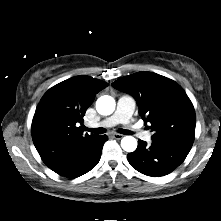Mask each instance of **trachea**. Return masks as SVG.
Segmentation results:
<instances>
[{"label":"trachea","mask_w":221,"mask_h":221,"mask_svg":"<svg viewBox=\"0 0 221 221\" xmlns=\"http://www.w3.org/2000/svg\"><path fill=\"white\" fill-rule=\"evenodd\" d=\"M86 130L88 132H92V133H95V134H103V133L106 132V129H104V128H86ZM119 132L121 134H126V135H131L132 134L131 131L125 130V129H120Z\"/></svg>","instance_id":"trachea-1"}]
</instances>
